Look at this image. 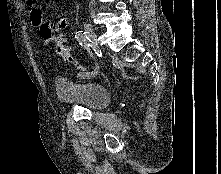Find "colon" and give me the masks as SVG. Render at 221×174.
<instances>
[{
  "label": "colon",
  "mask_w": 221,
  "mask_h": 174,
  "mask_svg": "<svg viewBox=\"0 0 221 174\" xmlns=\"http://www.w3.org/2000/svg\"><path fill=\"white\" fill-rule=\"evenodd\" d=\"M39 33L43 39L55 44V51L59 56L73 64L77 69L85 70V67L71 54L66 41L57 28L48 23H43L39 29Z\"/></svg>",
  "instance_id": "5ec220e1"
}]
</instances>
